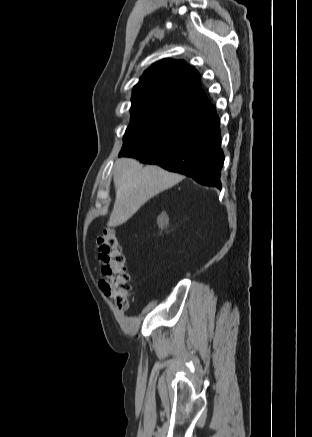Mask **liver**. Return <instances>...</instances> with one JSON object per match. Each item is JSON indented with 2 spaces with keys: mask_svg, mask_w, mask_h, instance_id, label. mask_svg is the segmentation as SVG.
<instances>
[{
  "mask_svg": "<svg viewBox=\"0 0 312 437\" xmlns=\"http://www.w3.org/2000/svg\"><path fill=\"white\" fill-rule=\"evenodd\" d=\"M116 199L108 222L117 227L129 220L149 199L173 187L183 176L158 166H146L132 158H121L114 166Z\"/></svg>",
  "mask_w": 312,
  "mask_h": 437,
  "instance_id": "1",
  "label": "liver"
}]
</instances>
